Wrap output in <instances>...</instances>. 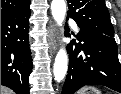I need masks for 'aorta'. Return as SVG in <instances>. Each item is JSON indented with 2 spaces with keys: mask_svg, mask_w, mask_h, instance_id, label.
<instances>
[{
  "mask_svg": "<svg viewBox=\"0 0 121 94\" xmlns=\"http://www.w3.org/2000/svg\"><path fill=\"white\" fill-rule=\"evenodd\" d=\"M51 13L54 20L59 26H62V23L66 15V2L65 0H52L51 2ZM68 68V57L65 49H60L56 55L53 74L57 82H61Z\"/></svg>",
  "mask_w": 121,
  "mask_h": 94,
  "instance_id": "aorta-1",
  "label": "aorta"
}]
</instances>
